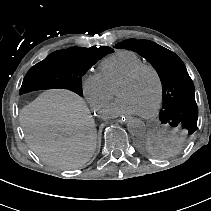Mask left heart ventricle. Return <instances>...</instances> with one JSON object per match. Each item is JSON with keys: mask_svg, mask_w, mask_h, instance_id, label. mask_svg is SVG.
<instances>
[{"mask_svg": "<svg viewBox=\"0 0 211 211\" xmlns=\"http://www.w3.org/2000/svg\"><path fill=\"white\" fill-rule=\"evenodd\" d=\"M116 93L129 99L140 113L149 111L157 98V82L149 70H142L129 82L119 83Z\"/></svg>", "mask_w": 211, "mask_h": 211, "instance_id": "1", "label": "left heart ventricle"}]
</instances>
